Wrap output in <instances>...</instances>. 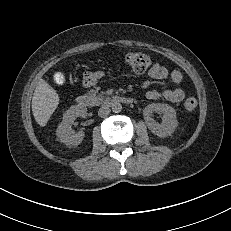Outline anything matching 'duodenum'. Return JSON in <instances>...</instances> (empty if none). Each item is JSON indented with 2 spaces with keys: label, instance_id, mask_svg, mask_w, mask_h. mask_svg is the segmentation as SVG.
<instances>
[{
  "label": "duodenum",
  "instance_id": "1",
  "mask_svg": "<svg viewBox=\"0 0 231 231\" xmlns=\"http://www.w3.org/2000/svg\"><path fill=\"white\" fill-rule=\"evenodd\" d=\"M133 101H134L133 98L128 97V96L113 95L107 98L105 103L107 104H113V103L132 104ZM76 103L80 107H89L93 105L94 101L88 95H80L76 98Z\"/></svg>",
  "mask_w": 231,
  "mask_h": 231
}]
</instances>
